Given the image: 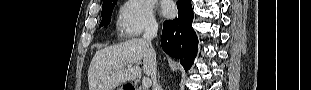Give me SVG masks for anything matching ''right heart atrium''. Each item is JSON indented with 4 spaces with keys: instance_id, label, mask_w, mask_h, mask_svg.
<instances>
[{
    "instance_id": "right-heart-atrium-1",
    "label": "right heart atrium",
    "mask_w": 311,
    "mask_h": 90,
    "mask_svg": "<svg viewBox=\"0 0 311 90\" xmlns=\"http://www.w3.org/2000/svg\"><path fill=\"white\" fill-rule=\"evenodd\" d=\"M157 27L154 8L150 1L128 0L120 7L117 28L123 38L133 39L143 32H153Z\"/></svg>"
}]
</instances>
